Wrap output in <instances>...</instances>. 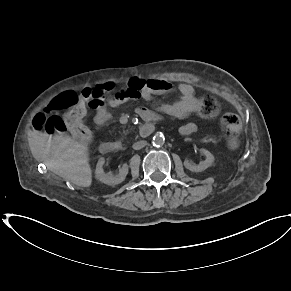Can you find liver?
<instances>
[{"label":"liver","mask_w":291,"mask_h":291,"mask_svg":"<svg viewBox=\"0 0 291 291\" xmlns=\"http://www.w3.org/2000/svg\"><path fill=\"white\" fill-rule=\"evenodd\" d=\"M33 156L43 161L57 175L80 187H90L92 170L87 148L70 136L49 135L33 131L29 134Z\"/></svg>","instance_id":"liver-1"}]
</instances>
